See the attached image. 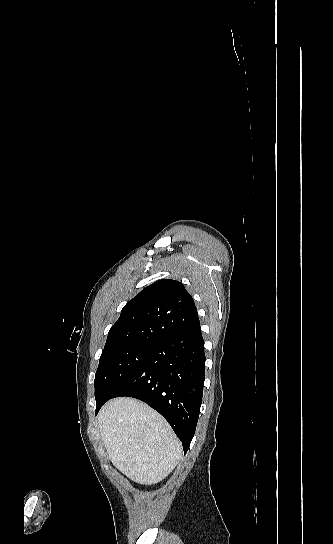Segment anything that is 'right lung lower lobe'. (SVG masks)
Listing matches in <instances>:
<instances>
[{
	"mask_svg": "<svg viewBox=\"0 0 333 544\" xmlns=\"http://www.w3.org/2000/svg\"><path fill=\"white\" fill-rule=\"evenodd\" d=\"M204 379V341L199 323L153 343L146 362L112 398L134 397L158 411L181 440L186 454L199 418Z\"/></svg>",
	"mask_w": 333,
	"mask_h": 544,
	"instance_id": "98d812e1",
	"label": "right lung lower lobe"
}]
</instances>
